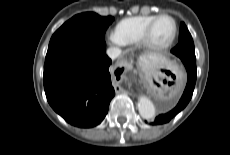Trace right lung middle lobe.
Wrapping results in <instances>:
<instances>
[{"label":"right lung middle lobe","instance_id":"1","mask_svg":"<svg viewBox=\"0 0 230 155\" xmlns=\"http://www.w3.org/2000/svg\"><path fill=\"white\" fill-rule=\"evenodd\" d=\"M111 16L102 17L93 12L75 15L51 37L47 54L72 46H104V35L113 22Z\"/></svg>","mask_w":230,"mask_h":155}]
</instances>
